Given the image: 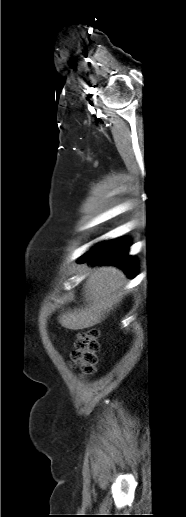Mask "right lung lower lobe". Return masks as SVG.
I'll use <instances>...</instances> for the list:
<instances>
[{
	"label": "right lung lower lobe",
	"mask_w": 186,
	"mask_h": 517,
	"mask_svg": "<svg viewBox=\"0 0 186 517\" xmlns=\"http://www.w3.org/2000/svg\"><path fill=\"white\" fill-rule=\"evenodd\" d=\"M130 242L127 238L100 243L86 252L78 262L88 260L94 264H112L122 268L130 278H134L137 273L136 261L127 255Z\"/></svg>",
	"instance_id": "98d812e1"
}]
</instances>
